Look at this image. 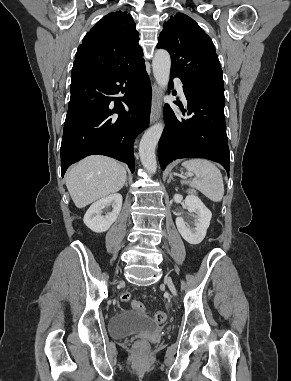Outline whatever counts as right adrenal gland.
<instances>
[{"label": "right adrenal gland", "instance_id": "obj_1", "mask_svg": "<svg viewBox=\"0 0 291 381\" xmlns=\"http://www.w3.org/2000/svg\"><path fill=\"white\" fill-rule=\"evenodd\" d=\"M125 185L128 186L127 180H126V182H125Z\"/></svg>", "mask_w": 291, "mask_h": 381}]
</instances>
